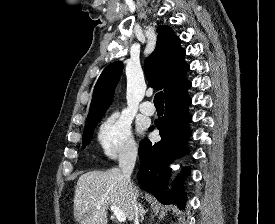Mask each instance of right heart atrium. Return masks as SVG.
<instances>
[{"instance_id": "1", "label": "right heart atrium", "mask_w": 275, "mask_h": 224, "mask_svg": "<svg viewBox=\"0 0 275 224\" xmlns=\"http://www.w3.org/2000/svg\"><path fill=\"white\" fill-rule=\"evenodd\" d=\"M97 141L101 151L109 159L131 158L138 151L130 122L120 113L109 115L101 123L97 132Z\"/></svg>"}]
</instances>
